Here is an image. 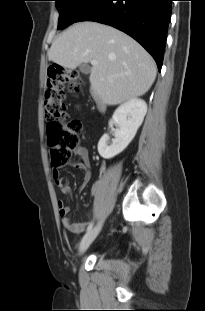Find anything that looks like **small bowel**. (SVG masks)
<instances>
[{
    "instance_id": "small-bowel-1",
    "label": "small bowel",
    "mask_w": 205,
    "mask_h": 311,
    "mask_svg": "<svg viewBox=\"0 0 205 311\" xmlns=\"http://www.w3.org/2000/svg\"><path fill=\"white\" fill-rule=\"evenodd\" d=\"M73 154L79 158V160L74 161L70 164V166L83 170L85 172L84 175V183H88L91 179V170H90V160L88 157L87 149L83 145H79L74 151ZM53 178L55 180V183L57 187L59 188L60 192L63 195L70 196L71 195V188L69 185L68 180L61 177L59 172L57 170L53 171ZM98 191V184H95L91 188L92 195H95ZM59 215L62 220V225L65 229L72 233H81L85 230L87 226H89V223L84 222H75L72 221L68 215H69V206L64 200H58L57 202Z\"/></svg>"
}]
</instances>
